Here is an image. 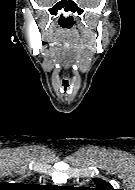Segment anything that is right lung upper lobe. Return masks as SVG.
<instances>
[{
    "label": "right lung upper lobe",
    "mask_w": 135,
    "mask_h": 190,
    "mask_svg": "<svg viewBox=\"0 0 135 190\" xmlns=\"http://www.w3.org/2000/svg\"><path fill=\"white\" fill-rule=\"evenodd\" d=\"M19 189L22 190H42L46 187V185H40V184H18L17 186Z\"/></svg>",
    "instance_id": "obj_1"
}]
</instances>
